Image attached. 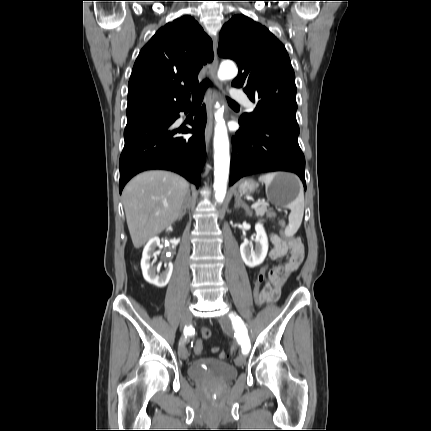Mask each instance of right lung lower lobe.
I'll use <instances>...</instances> for the list:
<instances>
[{"mask_svg": "<svg viewBox=\"0 0 431 431\" xmlns=\"http://www.w3.org/2000/svg\"><path fill=\"white\" fill-rule=\"evenodd\" d=\"M189 107L190 102L173 111L127 121L125 145L120 156V193L134 175L151 169L174 171L191 183L200 184V173L206 155L205 106L191 120L192 129L172 126L179 118V112H187ZM187 133H193V136H179Z\"/></svg>", "mask_w": 431, "mask_h": 431, "instance_id": "1", "label": "right lung lower lobe"}]
</instances>
